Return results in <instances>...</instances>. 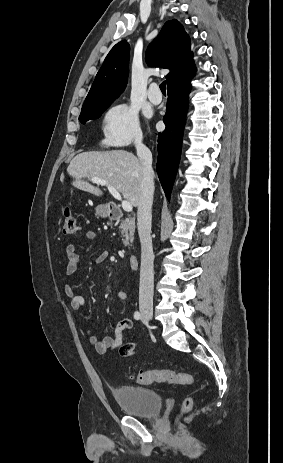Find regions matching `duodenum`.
<instances>
[{
  "label": "duodenum",
  "instance_id": "410a0bca",
  "mask_svg": "<svg viewBox=\"0 0 283 463\" xmlns=\"http://www.w3.org/2000/svg\"><path fill=\"white\" fill-rule=\"evenodd\" d=\"M107 211L108 215L111 219L113 220H118L123 216L121 208L114 204V203H108L107 204ZM138 256L136 255H131L129 257V264L132 269H137L138 268Z\"/></svg>",
  "mask_w": 283,
  "mask_h": 463
}]
</instances>
